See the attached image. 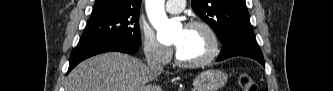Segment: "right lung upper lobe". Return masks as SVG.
<instances>
[{"label": "right lung upper lobe", "instance_id": "obj_1", "mask_svg": "<svg viewBox=\"0 0 333 91\" xmlns=\"http://www.w3.org/2000/svg\"><path fill=\"white\" fill-rule=\"evenodd\" d=\"M141 0H96L91 18L127 11H139Z\"/></svg>", "mask_w": 333, "mask_h": 91}]
</instances>
